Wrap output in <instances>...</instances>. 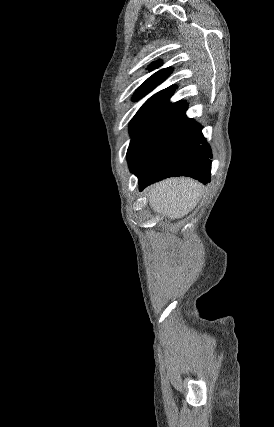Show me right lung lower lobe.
<instances>
[{
	"mask_svg": "<svg viewBox=\"0 0 274 427\" xmlns=\"http://www.w3.org/2000/svg\"><path fill=\"white\" fill-rule=\"evenodd\" d=\"M187 103L174 105L160 133L141 161L130 168L139 179V190L171 176H189L206 184L210 181V146L201 126L185 116Z\"/></svg>",
	"mask_w": 274,
	"mask_h": 427,
	"instance_id": "obj_1",
	"label": "right lung lower lobe"
}]
</instances>
